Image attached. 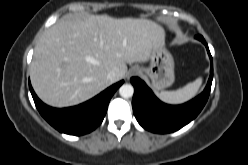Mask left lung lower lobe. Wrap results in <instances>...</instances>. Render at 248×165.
<instances>
[{"instance_id": "0a47b994", "label": "left lung lower lobe", "mask_w": 248, "mask_h": 165, "mask_svg": "<svg viewBox=\"0 0 248 165\" xmlns=\"http://www.w3.org/2000/svg\"><path fill=\"white\" fill-rule=\"evenodd\" d=\"M195 38L206 46L211 61L208 83L204 91L196 98L182 105H167L158 100L141 79L138 77L130 79L134 86L133 113L144 129L154 133L177 131L192 121L206 104L213 79V60L204 38L201 35H197Z\"/></svg>"}]
</instances>
